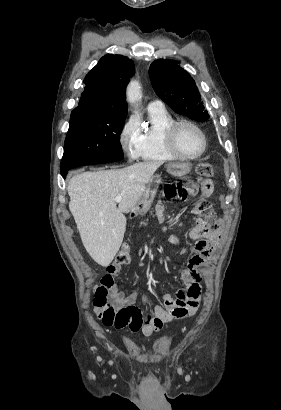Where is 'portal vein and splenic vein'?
Here are the masks:
<instances>
[{
    "label": "portal vein and splenic vein",
    "instance_id": "obj_1",
    "mask_svg": "<svg viewBox=\"0 0 281 410\" xmlns=\"http://www.w3.org/2000/svg\"><path fill=\"white\" fill-rule=\"evenodd\" d=\"M121 200H122V197H121V196H117V197L115 198V201H116L117 203L121 202Z\"/></svg>",
    "mask_w": 281,
    "mask_h": 410
}]
</instances>
